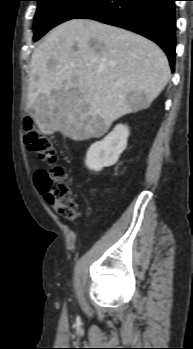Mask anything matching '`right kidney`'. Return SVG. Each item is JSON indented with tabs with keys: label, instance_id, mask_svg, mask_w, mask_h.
I'll list each match as a JSON object with an SVG mask.
<instances>
[{
	"label": "right kidney",
	"instance_id": "obj_1",
	"mask_svg": "<svg viewBox=\"0 0 193 349\" xmlns=\"http://www.w3.org/2000/svg\"><path fill=\"white\" fill-rule=\"evenodd\" d=\"M129 129L118 124L103 140L90 146L86 154L85 165L95 172L114 165L126 149Z\"/></svg>",
	"mask_w": 193,
	"mask_h": 349
}]
</instances>
